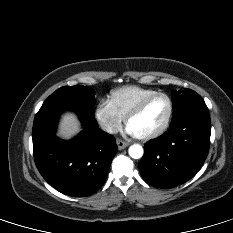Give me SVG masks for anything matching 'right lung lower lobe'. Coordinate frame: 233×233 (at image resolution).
I'll list each match as a JSON object with an SVG mask.
<instances>
[{"instance_id": "98d812e1", "label": "right lung lower lobe", "mask_w": 233, "mask_h": 233, "mask_svg": "<svg viewBox=\"0 0 233 233\" xmlns=\"http://www.w3.org/2000/svg\"><path fill=\"white\" fill-rule=\"evenodd\" d=\"M66 108L38 112L33 124V150L43 178L59 192L85 197L104 183L111 161L118 151L115 138L96 127L92 114L76 111L83 130L70 141L60 140L56 125Z\"/></svg>"}]
</instances>
